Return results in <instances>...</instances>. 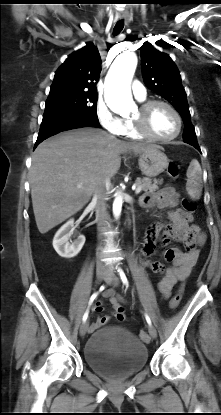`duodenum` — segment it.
I'll return each mask as SVG.
<instances>
[{
	"mask_svg": "<svg viewBox=\"0 0 221 415\" xmlns=\"http://www.w3.org/2000/svg\"><path fill=\"white\" fill-rule=\"evenodd\" d=\"M127 223H128V225H131L132 224V219L129 218L128 221H127Z\"/></svg>",
	"mask_w": 221,
	"mask_h": 415,
	"instance_id": "duodenum-1",
	"label": "duodenum"
}]
</instances>
